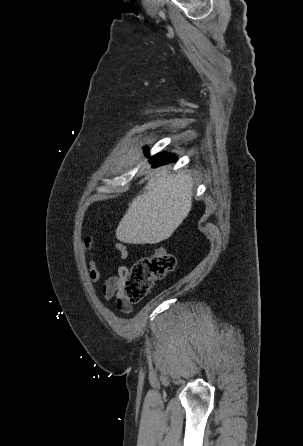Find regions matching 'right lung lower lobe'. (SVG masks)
Wrapping results in <instances>:
<instances>
[{
  "mask_svg": "<svg viewBox=\"0 0 303 446\" xmlns=\"http://www.w3.org/2000/svg\"><path fill=\"white\" fill-rule=\"evenodd\" d=\"M177 157L173 154L159 153L152 157L153 167L161 166L172 161H176Z\"/></svg>",
  "mask_w": 303,
  "mask_h": 446,
  "instance_id": "98d812e1",
  "label": "right lung lower lobe"
}]
</instances>
